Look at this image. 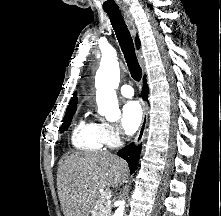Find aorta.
<instances>
[{
    "mask_svg": "<svg viewBox=\"0 0 221 216\" xmlns=\"http://www.w3.org/2000/svg\"><path fill=\"white\" fill-rule=\"evenodd\" d=\"M120 81V70L113 48L102 53L99 69L96 72V102L98 105V113L104 116L108 121H117L120 117V110L115 89H117ZM118 208L113 216H123L125 201L119 200Z\"/></svg>",
    "mask_w": 221,
    "mask_h": 216,
    "instance_id": "aorta-1",
    "label": "aorta"
}]
</instances>
